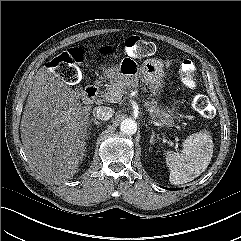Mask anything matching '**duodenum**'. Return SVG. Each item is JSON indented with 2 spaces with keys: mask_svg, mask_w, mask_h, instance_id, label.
Returning a JSON list of instances; mask_svg holds the SVG:
<instances>
[{
  "mask_svg": "<svg viewBox=\"0 0 241 241\" xmlns=\"http://www.w3.org/2000/svg\"><path fill=\"white\" fill-rule=\"evenodd\" d=\"M98 90H99L98 84H92L87 86L84 90V95H83L84 101L87 103L92 102L97 97Z\"/></svg>",
  "mask_w": 241,
  "mask_h": 241,
  "instance_id": "1",
  "label": "duodenum"
}]
</instances>
